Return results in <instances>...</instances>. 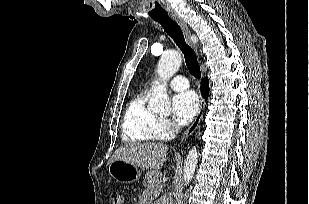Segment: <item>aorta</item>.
<instances>
[{"mask_svg": "<svg viewBox=\"0 0 309 204\" xmlns=\"http://www.w3.org/2000/svg\"><path fill=\"white\" fill-rule=\"evenodd\" d=\"M182 63L181 54L178 51H166L161 56L157 72L163 84H158L152 87L151 97L149 100V108L156 113H164L170 111V102L166 91V82L178 71ZM198 162V151L193 147L189 152L184 162V184L190 183L196 165Z\"/></svg>", "mask_w": 309, "mask_h": 204, "instance_id": "762f6f07", "label": "aorta"}]
</instances>
